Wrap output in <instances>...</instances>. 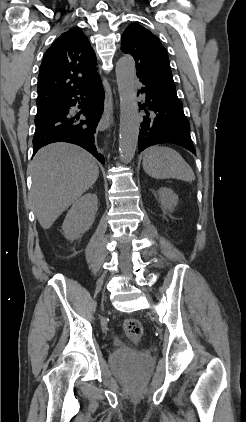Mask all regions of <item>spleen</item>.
Wrapping results in <instances>:
<instances>
[{"label":"spleen","mask_w":246,"mask_h":422,"mask_svg":"<svg viewBox=\"0 0 246 422\" xmlns=\"http://www.w3.org/2000/svg\"><path fill=\"white\" fill-rule=\"evenodd\" d=\"M144 171L156 179L177 178L191 182L195 180L192 168L174 149L166 146H152L144 152Z\"/></svg>","instance_id":"obj_1"}]
</instances>
